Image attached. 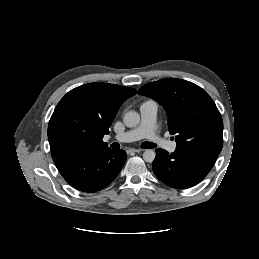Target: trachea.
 <instances>
[{
	"label": "trachea",
	"instance_id": "1",
	"mask_svg": "<svg viewBox=\"0 0 259 259\" xmlns=\"http://www.w3.org/2000/svg\"><path fill=\"white\" fill-rule=\"evenodd\" d=\"M114 144H116V145H118V147H119V144H117V143H114ZM141 147L143 148V149H147V148H154L155 147V144L154 143H152V142H143L142 144H141Z\"/></svg>",
	"mask_w": 259,
	"mask_h": 259
}]
</instances>
